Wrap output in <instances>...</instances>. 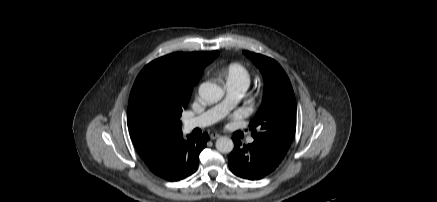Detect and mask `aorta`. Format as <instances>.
<instances>
[{
    "mask_svg": "<svg viewBox=\"0 0 437 202\" xmlns=\"http://www.w3.org/2000/svg\"><path fill=\"white\" fill-rule=\"evenodd\" d=\"M199 95L207 103H216L224 96L223 89L215 83L204 82L199 86ZM234 143L229 137H220L216 141V149L221 153H230Z\"/></svg>",
    "mask_w": 437,
    "mask_h": 202,
    "instance_id": "obj_1",
    "label": "aorta"
}]
</instances>
